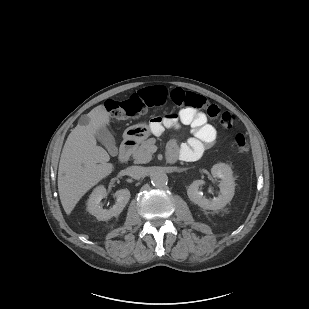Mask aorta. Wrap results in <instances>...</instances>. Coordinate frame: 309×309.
<instances>
[{
  "instance_id": "obj_1",
  "label": "aorta",
  "mask_w": 309,
  "mask_h": 309,
  "mask_svg": "<svg viewBox=\"0 0 309 309\" xmlns=\"http://www.w3.org/2000/svg\"><path fill=\"white\" fill-rule=\"evenodd\" d=\"M151 183L156 188H163L168 183V176L163 172H155L151 177Z\"/></svg>"
}]
</instances>
